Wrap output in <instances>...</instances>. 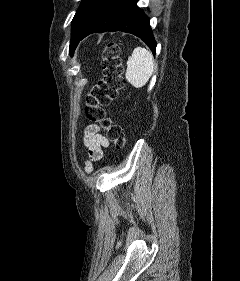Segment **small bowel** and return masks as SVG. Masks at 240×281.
<instances>
[{
    "label": "small bowel",
    "mask_w": 240,
    "mask_h": 281,
    "mask_svg": "<svg viewBox=\"0 0 240 281\" xmlns=\"http://www.w3.org/2000/svg\"><path fill=\"white\" fill-rule=\"evenodd\" d=\"M84 145L88 154L85 169L91 172L92 164L103 158V149L109 146V140L101 133L98 125L90 124L84 132Z\"/></svg>",
    "instance_id": "c3829d8e"
}]
</instances>
